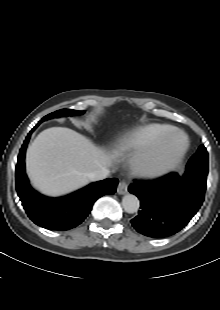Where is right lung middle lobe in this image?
<instances>
[{"mask_svg":"<svg viewBox=\"0 0 220 310\" xmlns=\"http://www.w3.org/2000/svg\"><path fill=\"white\" fill-rule=\"evenodd\" d=\"M84 111H76V110H68V109H63V110H58L56 112H53L51 114H48L47 116H45L41 121L47 120V119H51L54 117H60V116H71V115H80L83 114Z\"/></svg>","mask_w":220,"mask_h":310,"instance_id":"right-lung-middle-lobe-1","label":"right lung middle lobe"}]
</instances>
